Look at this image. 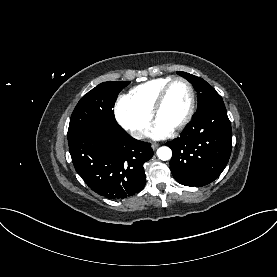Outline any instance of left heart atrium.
Returning a JSON list of instances; mask_svg holds the SVG:
<instances>
[{
	"instance_id": "obj_1",
	"label": "left heart atrium",
	"mask_w": 277,
	"mask_h": 277,
	"mask_svg": "<svg viewBox=\"0 0 277 277\" xmlns=\"http://www.w3.org/2000/svg\"><path fill=\"white\" fill-rule=\"evenodd\" d=\"M172 129L166 124L157 121L150 132V136L153 139H162L167 137L171 133Z\"/></svg>"
}]
</instances>
